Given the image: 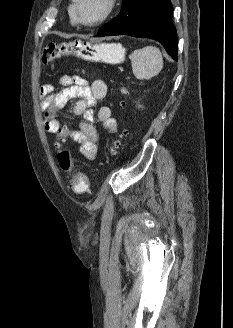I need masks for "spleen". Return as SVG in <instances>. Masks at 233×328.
Returning <instances> with one entry per match:
<instances>
[{
  "label": "spleen",
  "mask_w": 233,
  "mask_h": 328,
  "mask_svg": "<svg viewBox=\"0 0 233 328\" xmlns=\"http://www.w3.org/2000/svg\"><path fill=\"white\" fill-rule=\"evenodd\" d=\"M104 50L121 51L120 45H102ZM134 76L139 79H151L158 75L163 68V57L160 50L154 46H146L135 50L129 56Z\"/></svg>",
  "instance_id": "spleen-1"
}]
</instances>
